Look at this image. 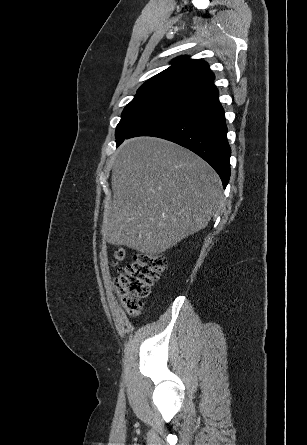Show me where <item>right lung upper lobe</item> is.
I'll return each mask as SVG.
<instances>
[{
  "label": "right lung upper lobe",
  "mask_w": 307,
  "mask_h": 445,
  "mask_svg": "<svg viewBox=\"0 0 307 445\" xmlns=\"http://www.w3.org/2000/svg\"><path fill=\"white\" fill-rule=\"evenodd\" d=\"M172 65L146 81L136 96L157 95L189 100L215 87L214 75L205 61L180 56Z\"/></svg>",
  "instance_id": "1"
}]
</instances>
